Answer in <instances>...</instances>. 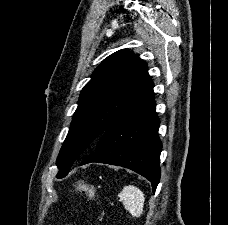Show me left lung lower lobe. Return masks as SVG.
I'll list each match as a JSON object with an SVG mask.
<instances>
[{
	"mask_svg": "<svg viewBox=\"0 0 228 225\" xmlns=\"http://www.w3.org/2000/svg\"><path fill=\"white\" fill-rule=\"evenodd\" d=\"M153 89L118 118L100 137L96 149L80 165L97 162L128 168L147 178L153 192L160 180L159 118Z\"/></svg>",
	"mask_w": 228,
	"mask_h": 225,
	"instance_id": "left-lung-lower-lobe-1",
	"label": "left lung lower lobe"
}]
</instances>
